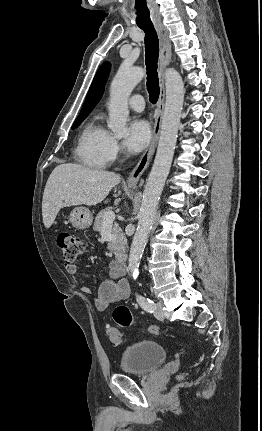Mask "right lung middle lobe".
<instances>
[{"label": "right lung middle lobe", "mask_w": 262, "mask_h": 431, "mask_svg": "<svg viewBox=\"0 0 262 431\" xmlns=\"http://www.w3.org/2000/svg\"><path fill=\"white\" fill-rule=\"evenodd\" d=\"M87 116H79V117H77V119L75 120V122H74V124H73V126H72V129H75V128H77L79 125H80V123L86 118Z\"/></svg>", "instance_id": "obj_1"}]
</instances>
